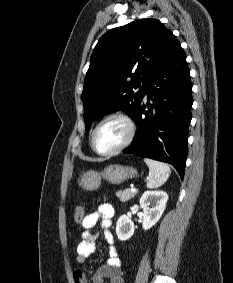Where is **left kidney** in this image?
I'll use <instances>...</instances> for the list:
<instances>
[{"mask_svg":"<svg viewBox=\"0 0 233 283\" xmlns=\"http://www.w3.org/2000/svg\"><path fill=\"white\" fill-rule=\"evenodd\" d=\"M168 200L164 191H146L140 198V206L143 209L142 227L148 230L161 218ZM151 206V207H149ZM134 233V223L130 216L122 215L116 224V234L119 240H128Z\"/></svg>","mask_w":233,"mask_h":283,"instance_id":"1","label":"left kidney"}]
</instances>
